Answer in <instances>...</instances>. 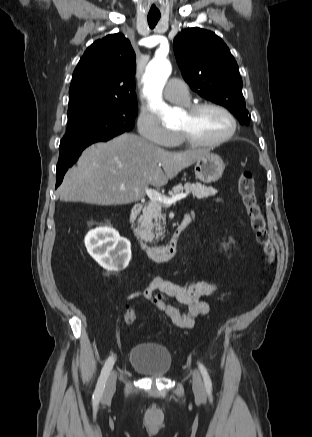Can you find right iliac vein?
<instances>
[{"mask_svg": "<svg viewBox=\"0 0 312 437\" xmlns=\"http://www.w3.org/2000/svg\"><path fill=\"white\" fill-rule=\"evenodd\" d=\"M116 379H117V372L112 371L104 388V392H103L104 401L112 397L116 387Z\"/></svg>", "mask_w": 312, "mask_h": 437, "instance_id": "63e3f726", "label": "right iliac vein"}]
</instances>
